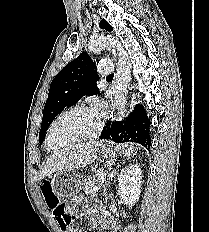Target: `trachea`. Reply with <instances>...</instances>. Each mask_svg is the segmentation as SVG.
<instances>
[{
  "mask_svg": "<svg viewBox=\"0 0 209 232\" xmlns=\"http://www.w3.org/2000/svg\"><path fill=\"white\" fill-rule=\"evenodd\" d=\"M114 77V74H110V75H108L106 78L107 79H112Z\"/></svg>",
  "mask_w": 209,
  "mask_h": 232,
  "instance_id": "1",
  "label": "trachea"
}]
</instances>
